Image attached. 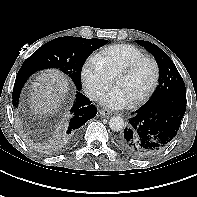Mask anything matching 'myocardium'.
Wrapping results in <instances>:
<instances>
[{"label":"myocardium","instance_id":"obj_1","mask_svg":"<svg viewBox=\"0 0 197 197\" xmlns=\"http://www.w3.org/2000/svg\"><path fill=\"white\" fill-rule=\"evenodd\" d=\"M144 62H150L152 64L154 69L153 80L150 87L144 94H142L140 97L136 98L135 100L129 103L131 106H136L145 102L152 96V94L156 90L159 81V75H160V69L157 61L150 56H142L140 58L135 59L134 61H132L122 69H120L114 77V81H115L119 77L128 76L132 74Z\"/></svg>","mask_w":197,"mask_h":197}]
</instances>
